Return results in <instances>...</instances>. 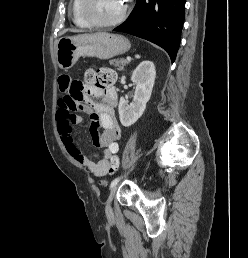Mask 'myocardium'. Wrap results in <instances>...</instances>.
<instances>
[{
  "instance_id": "1",
  "label": "myocardium",
  "mask_w": 248,
  "mask_h": 258,
  "mask_svg": "<svg viewBox=\"0 0 248 258\" xmlns=\"http://www.w3.org/2000/svg\"><path fill=\"white\" fill-rule=\"evenodd\" d=\"M87 2L88 0H81L80 12L84 20L87 22V24L92 27L105 28V27H112V26L118 25L125 19L128 12V0H124L123 8L120 14L115 19L106 21V22L95 21L89 16L87 12V8H86Z\"/></svg>"
}]
</instances>
